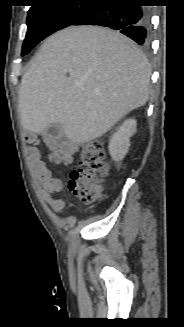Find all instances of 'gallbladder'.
Returning a JSON list of instances; mask_svg holds the SVG:
<instances>
[{"label":"gallbladder","mask_w":184,"mask_h":327,"mask_svg":"<svg viewBox=\"0 0 184 327\" xmlns=\"http://www.w3.org/2000/svg\"><path fill=\"white\" fill-rule=\"evenodd\" d=\"M46 134L51 137L59 138L64 134V131L59 124H53L48 127Z\"/></svg>","instance_id":"bac80fb5"}]
</instances>
